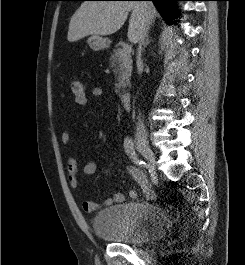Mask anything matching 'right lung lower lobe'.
<instances>
[{"mask_svg": "<svg viewBox=\"0 0 245 265\" xmlns=\"http://www.w3.org/2000/svg\"><path fill=\"white\" fill-rule=\"evenodd\" d=\"M123 1H141V0H123ZM152 1L156 8L159 10L160 14L163 16L165 21L169 24L176 23L173 21L175 18L174 3L176 1L182 0H148Z\"/></svg>", "mask_w": 245, "mask_h": 265, "instance_id": "obj_1", "label": "right lung lower lobe"}]
</instances>
